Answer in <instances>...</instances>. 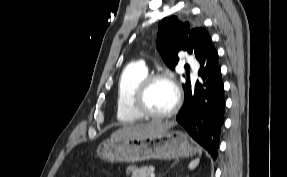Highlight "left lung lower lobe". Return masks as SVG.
I'll return each instance as SVG.
<instances>
[{
  "label": "left lung lower lobe",
  "mask_w": 287,
  "mask_h": 177,
  "mask_svg": "<svg viewBox=\"0 0 287 177\" xmlns=\"http://www.w3.org/2000/svg\"><path fill=\"white\" fill-rule=\"evenodd\" d=\"M198 61L201 67L199 78L196 82L185 78L184 104L176 119L216 159L224 122L225 99L218 54L213 45Z\"/></svg>",
  "instance_id": "1"
}]
</instances>
